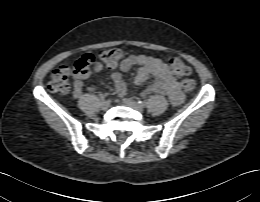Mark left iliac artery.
Returning <instances> with one entry per match:
<instances>
[{
  "instance_id": "44dca946",
  "label": "left iliac artery",
  "mask_w": 260,
  "mask_h": 202,
  "mask_svg": "<svg viewBox=\"0 0 260 202\" xmlns=\"http://www.w3.org/2000/svg\"><path fill=\"white\" fill-rule=\"evenodd\" d=\"M138 104L142 107L146 106V102L145 101H142V100H139L138 101Z\"/></svg>"
}]
</instances>
